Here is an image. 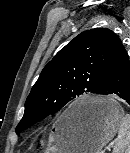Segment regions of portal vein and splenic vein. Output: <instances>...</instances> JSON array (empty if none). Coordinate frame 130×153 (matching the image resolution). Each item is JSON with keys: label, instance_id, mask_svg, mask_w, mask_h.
<instances>
[{"label": "portal vein and splenic vein", "instance_id": "portal-vein-and-splenic-vein-1", "mask_svg": "<svg viewBox=\"0 0 130 153\" xmlns=\"http://www.w3.org/2000/svg\"><path fill=\"white\" fill-rule=\"evenodd\" d=\"M111 147H113V145H109L108 148H111ZM101 153H105V149L103 151H101Z\"/></svg>", "mask_w": 130, "mask_h": 153}]
</instances>
